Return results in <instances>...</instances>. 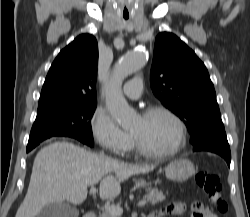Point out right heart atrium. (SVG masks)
<instances>
[{"label": "right heart atrium", "instance_id": "1", "mask_svg": "<svg viewBox=\"0 0 250 217\" xmlns=\"http://www.w3.org/2000/svg\"><path fill=\"white\" fill-rule=\"evenodd\" d=\"M89 126L93 139L101 148L110 153L124 154L133 145L131 135L121 129L113 117L102 107L94 109Z\"/></svg>", "mask_w": 250, "mask_h": 217}]
</instances>
